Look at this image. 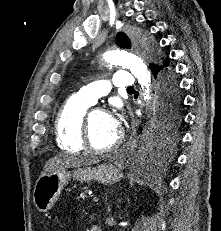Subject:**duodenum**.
Segmentation results:
<instances>
[{
  "label": "duodenum",
  "instance_id": "1",
  "mask_svg": "<svg viewBox=\"0 0 221 231\" xmlns=\"http://www.w3.org/2000/svg\"><path fill=\"white\" fill-rule=\"evenodd\" d=\"M90 231H102V229L98 225H92Z\"/></svg>",
  "mask_w": 221,
  "mask_h": 231
}]
</instances>
